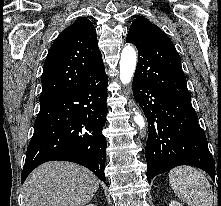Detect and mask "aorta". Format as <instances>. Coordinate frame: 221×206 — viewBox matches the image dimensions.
I'll list each match as a JSON object with an SVG mask.
<instances>
[{
    "mask_svg": "<svg viewBox=\"0 0 221 206\" xmlns=\"http://www.w3.org/2000/svg\"><path fill=\"white\" fill-rule=\"evenodd\" d=\"M137 62V53L135 49L131 45H127L122 53L120 59V80L122 84L126 85L129 84L133 78V74L136 68ZM134 111V121L136 124L143 129L145 127V121L143 116L135 110Z\"/></svg>",
    "mask_w": 221,
    "mask_h": 206,
    "instance_id": "1",
    "label": "aorta"
}]
</instances>
